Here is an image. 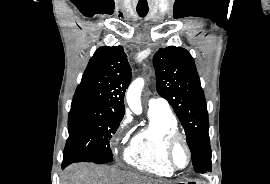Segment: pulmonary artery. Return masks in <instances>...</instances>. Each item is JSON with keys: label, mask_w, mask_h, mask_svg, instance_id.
<instances>
[{"label": "pulmonary artery", "mask_w": 270, "mask_h": 184, "mask_svg": "<svg viewBox=\"0 0 270 184\" xmlns=\"http://www.w3.org/2000/svg\"><path fill=\"white\" fill-rule=\"evenodd\" d=\"M149 109H169L168 102L161 98H152L148 101Z\"/></svg>", "instance_id": "1"}]
</instances>
